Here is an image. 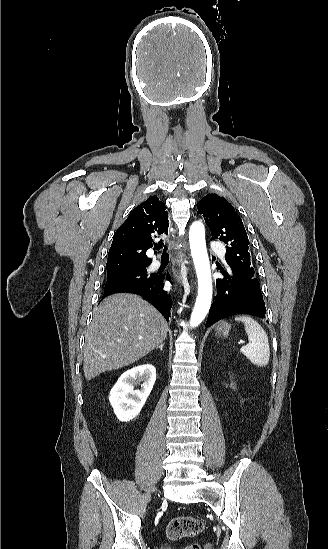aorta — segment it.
I'll return each instance as SVG.
<instances>
[{"label": "aorta", "instance_id": "aorta-1", "mask_svg": "<svg viewBox=\"0 0 328 549\" xmlns=\"http://www.w3.org/2000/svg\"><path fill=\"white\" fill-rule=\"evenodd\" d=\"M189 242L198 279V294L190 318V325L196 327L205 319L212 301V279L205 242V228L200 221L192 223Z\"/></svg>", "mask_w": 328, "mask_h": 549}]
</instances>
